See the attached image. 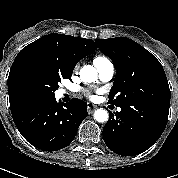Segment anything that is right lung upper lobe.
<instances>
[{
    "label": "right lung upper lobe",
    "mask_w": 178,
    "mask_h": 178,
    "mask_svg": "<svg viewBox=\"0 0 178 178\" xmlns=\"http://www.w3.org/2000/svg\"><path fill=\"white\" fill-rule=\"evenodd\" d=\"M97 49L91 39L79 38L64 34L45 35L24 47L15 58L8 77L9 101L16 98L12 85V71L17 62L29 55H41L52 59L59 66L73 70L75 65L85 56Z\"/></svg>",
    "instance_id": "cb5924a9"
}]
</instances>
